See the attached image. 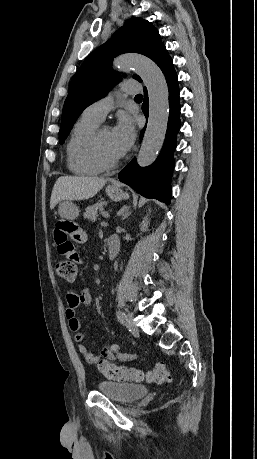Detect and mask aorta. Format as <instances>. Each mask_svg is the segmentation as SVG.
Segmentation results:
<instances>
[{"instance_id":"obj_1","label":"aorta","mask_w":257,"mask_h":459,"mask_svg":"<svg viewBox=\"0 0 257 459\" xmlns=\"http://www.w3.org/2000/svg\"><path fill=\"white\" fill-rule=\"evenodd\" d=\"M120 69L132 68L147 87L149 118L142 145L137 157L140 166L154 162L162 148L169 116V92L160 68L150 59L139 55H123L114 60Z\"/></svg>"}]
</instances>
